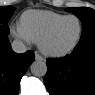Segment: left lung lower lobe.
<instances>
[{
    "mask_svg": "<svg viewBox=\"0 0 95 95\" xmlns=\"http://www.w3.org/2000/svg\"><path fill=\"white\" fill-rule=\"evenodd\" d=\"M50 95H95V35L80 39L70 55L47 60Z\"/></svg>",
    "mask_w": 95,
    "mask_h": 95,
    "instance_id": "left-lung-lower-lobe-1",
    "label": "left lung lower lobe"
}]
</instances>
